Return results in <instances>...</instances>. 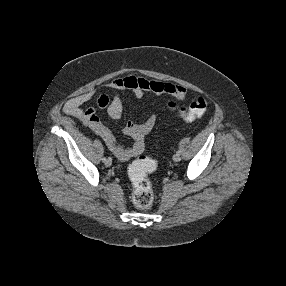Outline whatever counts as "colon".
I'll list each match as a JSON object with an SVG mask.
<instances>
[{"mask_svg": "<svg viewBox=\"0 0 286 286\" xmlns=\"http://www.w3.org/2000/svg\"><path fill=\"white\" fill-rule=\"evenodd\" d=\"M167 107L175 110L185 121L191 122L201 117L207 109V101L204 97H198L187 105H177L168 102ZM156 168L154 160L141 157L136 160L129 169V176L133 184V203L139 209L145 210L152 206L154 194L148 174Z\"/></svg>", "mask_w": 286, "mask_h": 286, "instance_id": "5ec220e1", "label": "colon"}]
</instances>
